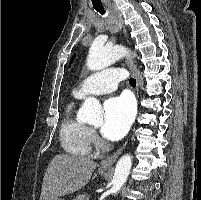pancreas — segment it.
<instances>
[{"label": "pancreas", "mask_w": 201, "mask_h": 200, "mask_svg": "<svg viewBox=\"0 0 201 200\" xmlns=\"http://www.w3.org/2000/svg\"><path fill=\"white\" fill-rule=\"evenodd\" d=\"M73 200H89V197H88V195H78Z\"/></svg>", "instance_id": "1"}]
</instances>
